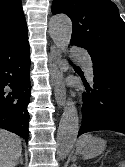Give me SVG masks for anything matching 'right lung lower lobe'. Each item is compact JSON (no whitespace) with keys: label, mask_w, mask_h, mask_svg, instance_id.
I'll return each mask as SVG.
<instances>
[{"label":"right lung lower lobe","mask_w":125,"mask_h":167,"mask_svg":"<svg viewBox=\"0 0 125 167\" xmlns=\"http://www.w3.org/2000/svg\"><path fill=\"white\" fill-rule=\"evenodd\" d=\"M28 37L0 46V128L28 140L30 102Z\"/></svg>","instance_id":"right-lung-lower-lobe-1"}]
</instances>
